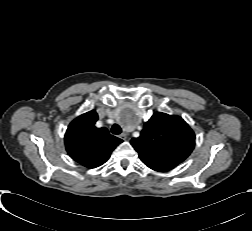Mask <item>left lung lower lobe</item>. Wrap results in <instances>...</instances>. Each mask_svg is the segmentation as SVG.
I'll return each instance as SVG.
<instances>
[{"label": "left lung lower lobe", "instance_id": "1", "mask_svg": "<svg viewBox=\"0 0 252 231\" xmlns=\"http://www.w3.org/2000/svg\"><path fill=\"white\" fill-rule=\"evenodd\" d=\"M174 167H168V166H158V167H153L151 169L155 170V171H159V172H166L168 170L173 169Z\"/></svg>", "mask_w": 252, "mask_h": 231}]
</instances>
